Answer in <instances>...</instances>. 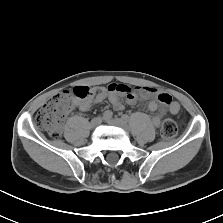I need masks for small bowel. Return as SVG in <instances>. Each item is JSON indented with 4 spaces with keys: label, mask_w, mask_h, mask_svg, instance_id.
<instances>
[{
    "label": "small bowel",
    "mask_w": 223,
    "mask_h": 223,
    "mask_svg": "<svg viewBox=\"0 0 223 223\" xmlns=\"http://www.w3.org/2000/svg\"><path fill=\"white\" fill-rule=\"evenodd\" d=\"M93 93L91 98L84 101H75L74 106L82 112H87L94 104L101 103L107 99L115 110L120 111L124 108L121 96H124L129 104H136L141 100L153 97L155 99L146 102L144 106L148 111L156 112L152 119L156 127L161 126L163 116L166 112L175 115L180 109L179 104L169 94L151 87L131 89L126 84L111 83L107 87L94 88Z\"/></svg>",
    "instance_id": "small-bowel-1"
}]
</instances>
